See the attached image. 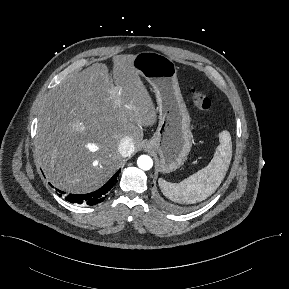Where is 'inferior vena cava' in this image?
<instances>
[{"instance_id":"inferior-vena-cava-1","label":"inferior vena cava","mask_w":289,"mask_h":289,"mask_svg":"<svg viewBox=\"0 0 289 289\" xmlns=\"http://www.w3.org/2000/svg\"><path fill=\"white\" fill-rule=\"evenodd\" d=\"M119 152L123 157L131 155L134 151V145L130 137H124L119 144Z\"/></svg>"}]
</instances>
